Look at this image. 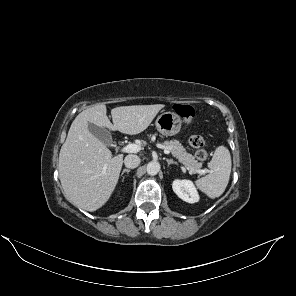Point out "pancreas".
<instances>
[{
	"instance_id": "obj_1",
	"label": "pancreas",
	"mask_w": 296,
	"mask_h": 296,
	"mask_svg": "<svg viewBox=\"0 0 296 296\" xmlns=\"http://www.w3.org/2000/svg\"><path fill=\"white\" fill-rule=\"evenodd\" d=\"M163 145L188 170H191L193 173H198L201 170L202 163L198 162L192 154L188 153L179 141H165Z\"/></svg>"
}]
</instances>
